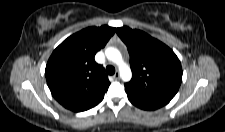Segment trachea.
Wrapping results in <instances>:
<instances>
[{"label": "trachea", "instance_id": "3493384b", "mask_svg": "<svg viewBox=\"0 0 225 132\" xmlns=\"http://www.w3.org/2000/svg\"><path fill=\"white\" fill-rule=\"evenodd\" d=\"M106 73H107L108 75H113V74L115 73V68H114L113 66H111V65H108V66L106 67Z\"/></svg>", "mask_w": 225, "mask_h": 132}]
</instances>
